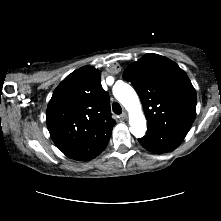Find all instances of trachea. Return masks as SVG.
I'll return each instance as SVG.
<instances>
[{
    "mask_svg": "<svg viewBox=\"0 0 221 221\" xmlns=\"http://www.w3.org/2000/svg\"><path fill=\"white\" fill-rule=\"evenodd\" d=\"M112 109H113V112H114L115 114H118V115H119V114L122 113V108H121L120 104L117 103V102H114V103H113Z\"/></svg>",
    "mask_w": 221,
    "mask_h": 221,
    "instance_id": "obj_1",
    "label": "trachea"
}]
</instances>
